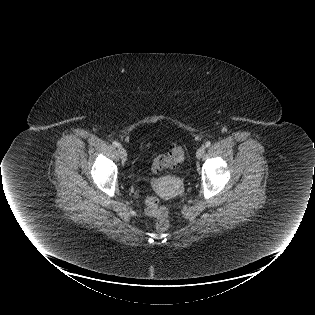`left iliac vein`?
I'll use <instances>...</instances> for the list:
<instances>
[{"instance_id":"4c4485c4","label":"left iliac vein","mask_w":315,"mask_h":315,"mask_svg":"<svg viewBox=\"0 0 315 315\" xmlns=\"http://www.w3.org/2000/svg\"><path fill=\"white\" fill-rule=\"evenodd\" d=\"M205 153V146H201L200 148H198L197 152H196V157L198 159H200Z\"/></svg>"}]
</instances>
